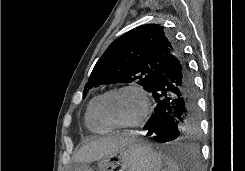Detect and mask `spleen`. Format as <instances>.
<instances>
[{"mask_svg": "<svg viewBox=\"0 0 245 171\" xmlns=\"http://www.w3.org/2000/svg\"><path fill=\"white\" fill-rule=\"evenodd\" d=\"M165 162L167 164V168L164 171H180L179 164L172 158L166 157Z\"/></svg>", "mask_w": 245, "mask_h": 171, "instance_id": "3e777b00", "label": "spleen"}]
</instances>
